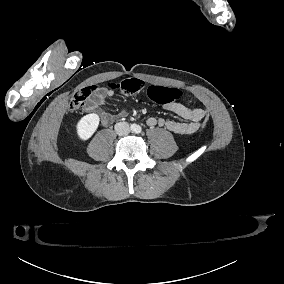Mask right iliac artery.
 <instances>
[{"mask_svg": "<svg viewBox=\"0 0 284 284\" xmlns=\"http://www.w3.org/2000/svg\"><path fill=\"white\" fill-rule=\"evenodd\" d=\"M134 128H135L134 125H131V129L134 130Z\"/></svg>", "mask_w": 284, "mask_h": 284, "instance_id": "1", "label": "right iliac artery"}]
</instances>
